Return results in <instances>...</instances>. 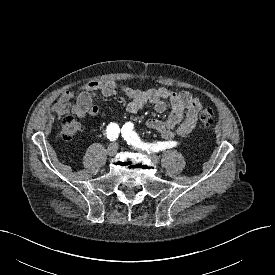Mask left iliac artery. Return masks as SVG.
Instances as JSON below:
<instances>
[{
  "instance_id": "left-iliac-artery-1",
  "label": "left iliac artery",
  "mask_w": 275,
  "mask_h": 275,
  "mask_svg": "<svg viewBox=\"0 0 275 275\" xmlns=\"http://www.w3.org/2000/svg\"><path fill=\"white\" fill-rule=\"evenodd\" d=\"M133 123L128 122L122 127V136L129 143L134 145L136 148H142L146 151L159 152L165 149L176 147L178 142H157V143H144L139 138L138 134L133 130Z\"/></svg>"
}]
</instances>
